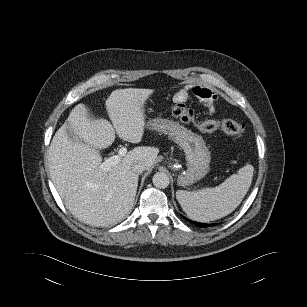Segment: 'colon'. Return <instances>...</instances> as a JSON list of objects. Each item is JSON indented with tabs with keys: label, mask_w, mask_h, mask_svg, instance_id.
I'll return each mask as SVG.
<instances>
[{
	"label": "colon",
	"mask_w": 307,
	"mask_h": 307,
	"mask_svg": "<svg viewBox=\"0 0 307 307\" xmlns=\"http://www.w3.org/2000/svg\"><path fill=\"white\" fill-rule=\"evenodd\" d=\"M174 116L183 122L195 125L201 132L210 133L222 131L228 135L241 138L246 133V126L243 122L234 119L225 118L220 120L196 121L193 112L182 103H176L171 106Z\"/></svg>",
	"instance_id": "colon-1"
}]
</instances>
